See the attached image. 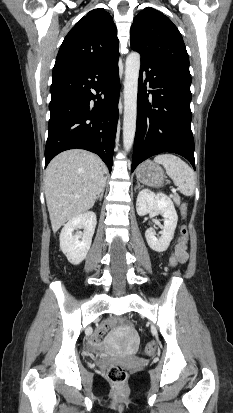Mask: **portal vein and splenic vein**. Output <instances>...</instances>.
<instances>
[{
  "label": "portal vein and splenic vein",
  "instance_id": "1",
  "mask_svg": "<svg viewBox=\"0 0 233 413\" xmlns=\"http://www.w3.org/2000/svg\"><path fill=\"white\" fill-rule=\"evenodd\" d=\"M172 192L175 193V192H176V189H173Z\"/></svg>",
  "mask_w": 233,
  "mask_h": 413
}]
</instances>
